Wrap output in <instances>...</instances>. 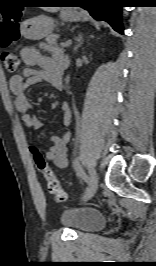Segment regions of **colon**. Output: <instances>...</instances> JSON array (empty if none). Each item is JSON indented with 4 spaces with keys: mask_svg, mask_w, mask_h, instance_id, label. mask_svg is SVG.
<instances>
[{
    "mask_svg": "<svg viewBox=\"0 0 156 266\" xmlns=\"http://www.w3.org/2000/svg\"><path fill=\"white\" fill-rule=\"evenodd\" d=\"M20 11L15 10L11 15L5 16L0 22V44L8 45L19 38L18 20ZM2 60L9 72H14L19 66V58L13 52H4ZM34 161L38 171L44 176L47 182V190L53 195L57 202L67 200L66 192L61 188V184L55 176L53 170L49 167L44 157L36 150L32 149Z\"/></svg>",
    "mask_w": 156,
    "mask_h": 266,
    "instance_id": "colon-1",
    "label": "colon"
}]
</instances>
